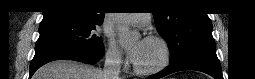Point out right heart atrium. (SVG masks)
Returning <instances> with one entry per match:
<instances>
[{
  "label": "right heart atrium",
  "mask_w": 255,
  "mask_h": 79,
  "mask_svg": "<svg viewBox=\"0 0 255 79\" xmlns=\"http://www.w3.org/2000/svg\"><path fill=\"white\" fill-rule=\"evenodd\" d=\"M107 60L115 66H123L126 63L122 51L118 48L116 43L112 40L108 41L106 50Z\"/></svg>",
  "instance_id": "right-heart-atrium-1"
}]
</instances>
